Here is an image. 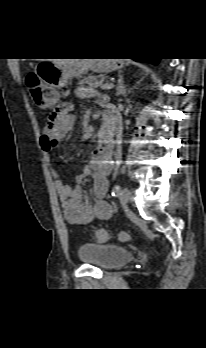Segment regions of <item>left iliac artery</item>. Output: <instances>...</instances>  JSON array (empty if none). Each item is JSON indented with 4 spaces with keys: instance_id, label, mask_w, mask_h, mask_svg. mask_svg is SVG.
Wrapping results in <instances>:
<instances>
[{
    "instance_id": "left-iliac-artery-1",
    "label": "left iliac artery",
    "mask_w": 206,
    "mask_h": 348,
    "mask_svg": "<svg viewBox=\"0 0 206 348\" xmlns=\"http://www.w3.org/2000/svg\"><path fill=\"white\" fill-rule=\"evenodd\" d=\"M121 193V187L120 185H115L112 190V196L118 197L119 194Z\"/></svg>"
}]
</instances>
